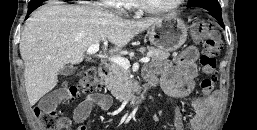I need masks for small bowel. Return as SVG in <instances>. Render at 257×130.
<instances>
[{
    "label": "small bowel",
    "mask_w": 257,
    "mask_h": 130,
    "mask_svg": "<svg viewBox=\"0 0 257 130\" xmlns=\"http://www.w3.org/2000/svg\"><path fill=\"white\" fill-rule=\"evenodd\" d=\"M198 51L190 46L183 50L173 61H161L149 65L144 70V76L148 81L159 85L162 91L170 98H184L194 90L195 78L198 75L196 60ZM58 98L55 94L48 95L43 100L47 107L55 106ZM111 104V98L103 93H92L86 96L75 108L73 123L76 130H87L83 122L90 116L95 108L107 109ZM173 110L174 130H183L182 118L177 106L171 103ZM193 116L190 119L191 130H203L210 118L212 105L197 98L192 102Z\"/></svg>",
    "instance_id": "obj_1"
}]
</instances>
